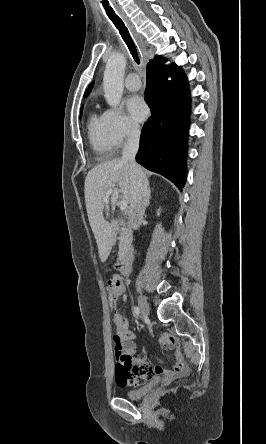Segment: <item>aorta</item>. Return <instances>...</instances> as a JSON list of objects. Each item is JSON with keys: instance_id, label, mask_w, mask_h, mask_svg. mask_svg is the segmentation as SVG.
<instances>
[{"instance_id": "aorta-1", "label": "aorta", "mask_w": 266, "mask_h": 444, "mask_svg": "<svg viewBox=\"0 0 266 444\" xmlns=\"http://www.w3.org/2000/svg\"><path fill=\"white\" fill-rule=\"evenodd\" d=\"M126 59L123 54L116 53L109 57L103 78L104 94L110 106H117L123 95V77Z\"/></svg>"}]
</instances>
